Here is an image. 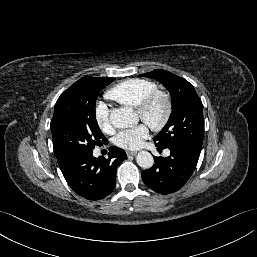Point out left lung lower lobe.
Segmentation results:
<instances>
[{
  "mask_svg": "<svg viewBox=\"0 0 257 257\" xmlns=\"http://www.w3.org/2000/svg\"><path fill=\"white\" fill-rule=\"evenodd\" d=\"M167 148L170 150V156L154 157L155 164L141 174L143 182L160 194H170L179 190L192 175L200 155V151L180 145H171Z\"/></svg>",
  "mask_w": 257,
  "mask_h": 257,
  "instance_id": "1",
  "label": "left lung lower lobe"
}]
</instances>
